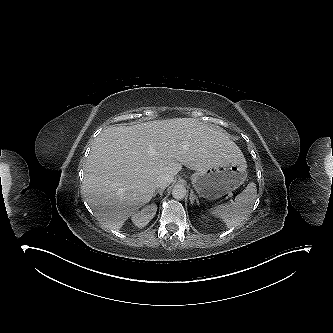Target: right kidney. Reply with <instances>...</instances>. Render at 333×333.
<instances>
[{"mask_svg": "<svg viewBox=\"0 0 333 333\" xmlns=\"http://www.w3.org/2000/svg\"><path fill=\"white\" fill-rule=\"evenodd\" d=\"M157 205L152 203L145 206L141 211L133 213L131 220L133 224L139 228L145 227L151 219L155 216Z\"/></svg>", "mask_w": 333, "mask_h": 333, "instance_id": "ca27d5eb", "label": "right kidney"}]
</instances>
